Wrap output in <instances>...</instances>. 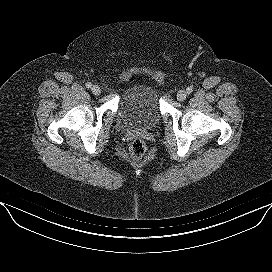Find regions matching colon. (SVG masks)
Masks as SVG:
<instances>
[{"instance_id":"colon-1","label":"colon","mask_w":272,"mask_h":272,"mask_svg":"<svg viewBox=\"0 0 272 272\" xmlns=\"http://www.w3.org/2000/svg\"><path fill=\"white\" fill-rule=\"evenodd\" d=\"M129 150L133 158L139 159L144 155L146 151V146L142 140L135 139L131 142Z\"/></svg>"}]
</instances>
